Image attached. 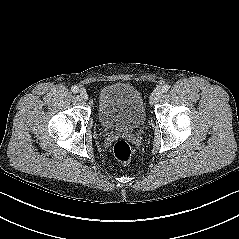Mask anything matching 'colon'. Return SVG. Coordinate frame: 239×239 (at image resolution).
Segmentation results:
<instances>
[{"label":"colon","mask_w":239,"mask_h":239,"mask_svg":"<svg viewBox=\"0 0 239 239\" xmlns=\"http://www.w3.org/2000/svg\"><path fill=\"white\" fill-rule=\"evenodd\" d=\"M112 152L114 157L123 163L129 162L132 156V148L130 144L123 139L118 140L114 144Z\"/></svg>","instance_id":"1"}]
</instances>
